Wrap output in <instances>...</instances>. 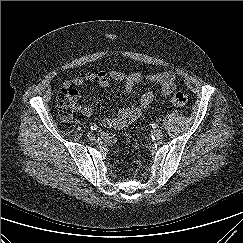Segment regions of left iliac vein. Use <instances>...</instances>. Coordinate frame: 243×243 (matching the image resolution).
I'll use <instances>...</instances> for the list:
<instances>
[{
    "label": "left iliac vein",
    "mask_w": 243,
    "mask_h": 243,
    "mask_svg": "<svg viewBox=\"0 0 243 243\" xmlns=\"http://www.w3.org/2000/svg\"><path fill=\"white\" fill-rule=\"evenodd\" d=\"M162 137H163V131L162 130H159V129L155 130V132H154V138L156 140H159Z\"/></svg>",
    "instance_id": "1"
}]
</instances>
